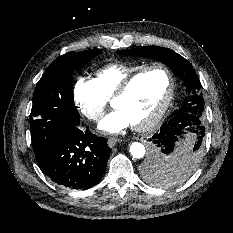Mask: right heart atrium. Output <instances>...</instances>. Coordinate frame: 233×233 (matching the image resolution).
<instances>
[{"instance_id": "obj_1", "label": "right heart atrium", "mask_w": 233, "mask_h": 233, "mask_svg": "<svg viewBox=\"0 0 233 233\" xmlns=\"http://www.w3.org/2000/svg\"><path fill=\"white\" fill-rule=\"evenodd\" d=\"M73 103L78 112L89 121H99L103 116L107 100L100 94L94 79L79 77L73 86Z\"/></svg>"}]
</instances>
